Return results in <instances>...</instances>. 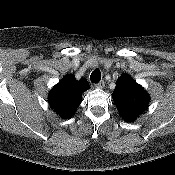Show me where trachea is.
<instances>
[{
  "label": "trachea",
  "instance_id": "trachea-1",
  "mask_svg": "<svg viewBox=\"0 0 175 175\" xmlns=\"http://www.w3.org/2000/svg\"><path fill=\"white\" fill-rule=\"evenodd\" d=\"M100 79H101V72L99 69H95L90 75V80L91 82L98 83Z\"/></svg>",
  "mask_w": 175,
  "mask_h": 175
}]
</instances>
